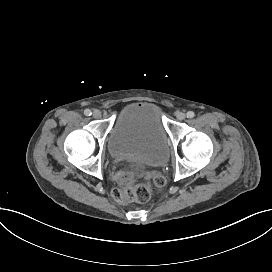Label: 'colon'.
Returning a JSON list of instances; mask_svg holds the SVG:
<instances>
[{
  "label": "colon",
  "instance_id": "5ec220e1",
  "mask_svg": "<svg viewBox=\"0 0 272 272\" xmlns=\"http://www.w3.org/2000/svg\"><path fill=\"white\" fill-rule=\"evenodd\" d=\"M141 167L137 164L128 168L120 175V185L114 189L113 195L119 204H129L132 200L146 202L151 196L155 186H163L165 178L158 175L153 178L152 183H137V175L141 173Z\"/></svg>",
  "mask_w": 272,
  "mask_h": 272
}]
</instances>
